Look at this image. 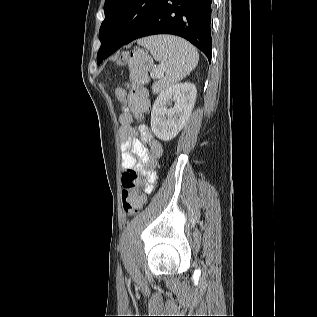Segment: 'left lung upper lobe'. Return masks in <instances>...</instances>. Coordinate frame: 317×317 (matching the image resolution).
<instances>
[{
    "mask_svg": "<svg viewBox=\"0 0 317 317\" xmlns=\"http://www.w3.org/2000/svg\"><path fill=\"white\" fill-rule=\"evenodd\" d=\"M162 0H105V19L100 27L101 47L97 64L103 61V44L111 41L119 45L130 43L157 10Z\"/></svg>",
    "mask_w": 317,
    "mask_h": 317,
    "instance_id": "5c2ea615",
    "label": "left lung upper lobe"
}]
</instances>
